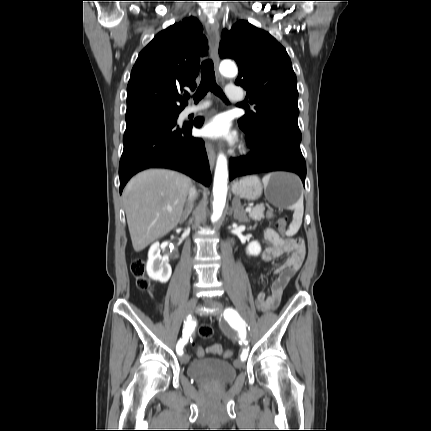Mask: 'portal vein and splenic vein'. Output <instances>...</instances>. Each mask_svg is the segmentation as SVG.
<instances>
[{"mask_svg":"<svg viewBox=\"0 0 431 431\" xmlns=\"http://www.w3.org/2000/svg\"><path fill=\"white\" fill-rule=\"evenodd\" d=\"M252 210L251 207L246 208V212H250ZM168 212H172V208L167 209Z\"/></svg>","mask_w":431,"mask_h":431,"instance_id":"18ae733b","label":"portal vein and splenic vein"}]
</instances>
